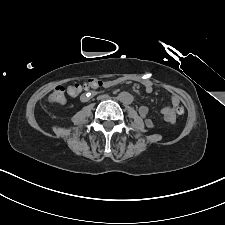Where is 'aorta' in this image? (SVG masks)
I'll return each mask as SVG.
<instances>
[{"label": "aorta", "mask_w": 225, "mask_h": 225, "mask_svg": "<svg viewBox=\"0 0 225 225\" xmlns=\"http://www.w3.org/2000/svg\"><path fill=\"white\" fill-rule=\"evenodd\" d=\"M119 100L125 104H130L133 101V96L128 92H122L118 96Z\"/></svg>", "instance_id": "aorta-1"}]
</instances>
